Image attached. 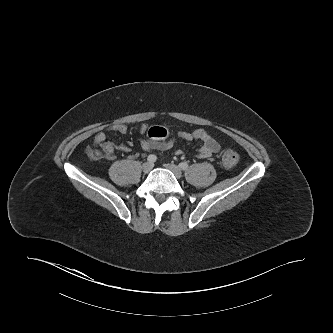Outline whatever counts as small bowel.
<instances>
[{"label":"small bowel","instance_id":"c3829d8e","mask_svg":"<svg viewBox=\"0 0 333 333\" xmlns=\"http://www.w3.org/2000/svg\"><path fill=\"white\" fill-rule=\"evenodd\" d=\"M146 126H141V132H145ZM109 131L118 132L121 134H126L128 132V128L123 124L113 125ZM176 138H181L186 140L187 142L198 141L201 143L197 156L201 159L209 158L213 154L218 153L220 151L219 142L213 138L208 132L204 129H197L193 132L186 131H177L171 135L170 138L166 140H153L148 138H143L141 141L142 149L147 152L152 151H160L165 152L169 151L173 148L174 140ZM94 146L100 147L103 151V156L106 160H111L114 157L115 150H120L123 152H127L129 150L128 146L124 144L115 145L114 143L107 140V133L104 131L98 132L93 139ZM177 155H181L182 151L178 150L176 152Z\"/></svg>","mask_w":333,"mask_h":333}]
</instances>
